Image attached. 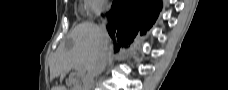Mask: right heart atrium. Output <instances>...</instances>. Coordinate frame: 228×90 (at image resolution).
I'll return each mask as SVG.
<instances>
[{"label":"right heart atrium","instance_id":"obj_1","mask_svg":"<svg viewBox=\"0 0 228 90\" xmlns=\"http://www.w3.org/2000/svg\"><path fill=\"white\" fill-rule=\"evenodd\" d=\"M86 5L85 13L89 16H95L100 14L108 6L106 0H85Z\"/></svg>","mask_w":228,"mask_h":90}]
</instances>
